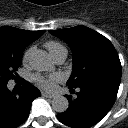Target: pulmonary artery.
Masks as SVG:
<instances>
[{
  "label": "pulmonary artery",
  "instance_id": "pulmonary-artery-1",
  "mask_svg": "<svg viewBox=\"0 0 128 128\" xmlns=\"http://www.w3.org/2000/svg\"><path fill=\"white\" fill-rule=\"evenodd\" d=\"M67 57V51L60 52L57 56L54 57L56 63L61 64L65 61Z\"/></svg>",
  "mask_w": 128,
  "mask_h": 128
}]
</instances>
